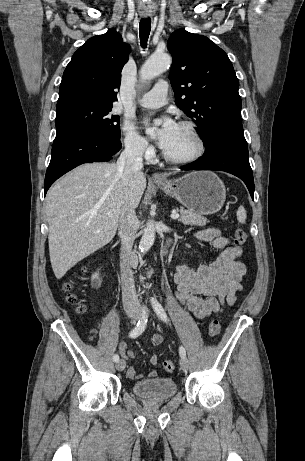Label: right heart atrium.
<instances>
[{"label":"right heart atrium","instance_id":"d8ad5b80","mask_svg":"<svg viewBox=\"0 0 305 461\" xmlns=\"http://www.w3.org/2000/svg\"><path fill=\"white\" fill-rule=\"evenodd\" d=\"M123 143L125 149L136 157H149L153 148L148 141L141 136L134 125L128 121L122 124Z\"/></svg>","mask_w":305,"mask_h":461}]
</instances>
